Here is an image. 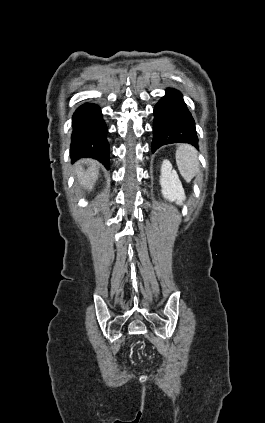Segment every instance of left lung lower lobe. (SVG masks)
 Listing matches in <instances>:
<instances>
[{
    "instance_id": "0a47b994",
    "label": "left lung lower lobe",
    "mask_w": 265,
    "mask_h": 423,
    "mask_svg": "<svg viewBox=\"0 0 265 423\" xmlns=\"http://www.w3.org/2000/svg\"><path fill=\"white\" fill-rule=\"evenodd\" d=\"M153 133L152 152L170 143L198 146L194 119L178 90L167 89L166 95L156 104Z\"/></svg>"
}]
</instances>
